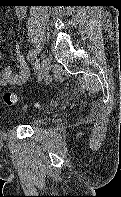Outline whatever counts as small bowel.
Returning a JSON list of instances; mask_svg holds the SVG:
<instances>
[{
  "label": "small bowel",
  "mask_w": 121,
  "mask_h": 197,
  "mask_svg": "<svg viewBox=\"0 0 121 197\" xmlns=\"http://www.w3.org/2000/svg\"><path fill=\"white\" fill-rule=\"evenodd\" d=\"M16 15L19 18H23L25 15V9L21 7L17 8ZM16 59L19 65V72L14 74L11 68H5L0 74V87H6L8 85H23L28 81L30 70L18 45H16Z\"/></svg>",
  "instance_id": "1"
}]
</instances>
